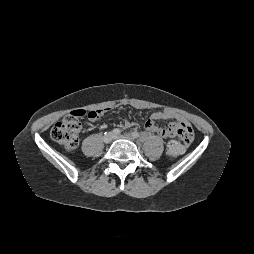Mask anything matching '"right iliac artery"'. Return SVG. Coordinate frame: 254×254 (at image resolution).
Masks as SVG:
<instances>
[{
    "label": "right iliac artery",
    "instance_id": "1",
    "mask_svg": "<svg viewBox=\"0 0 254 254\" xmlns=\"http://www.w3.org/2000/svg\"><path fill=\"white\" fill-rule=\"evenodd\" d=\"M112 133H113L114 135H119V134L121 133V130L118 129V128H115V129H113ZM105 134H106V133H105Z\"/></svg>",
    "mask_w": 254,
    "mask_h": 254
}]
</instances>
